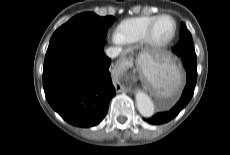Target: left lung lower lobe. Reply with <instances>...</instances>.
Returning a JSON list of instances; mask_svg holds the SVG:
<instances>
[{"instance_id":"obj_1","label":"left lung lower lobe","mask_w":230,"mask_h":155,"mask_svg":"<svg viewBox=\"0 0 230 155\" xmlns=\"http://www.w3.org/2000/svg\"><path fill=\"white\" fill-rule=\"evenodd\" d=\"M181 59L187 74V82L181 95V98L176 103V105L169 111L157 113L151 118H144L145 121L152 125H159L169 122L171 119H173L179 114V112L188 104V102L193 96L197 80L196 58H193V56H185L181 57Z\"/></svg>"}]
</instances>
